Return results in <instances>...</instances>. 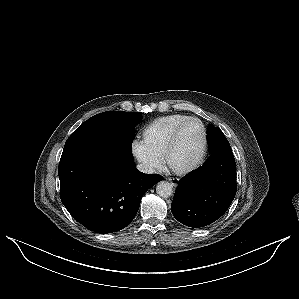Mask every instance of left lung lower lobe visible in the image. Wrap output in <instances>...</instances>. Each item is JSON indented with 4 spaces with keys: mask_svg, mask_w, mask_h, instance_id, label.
Masks as SVG:
<instances>
[{
    "mask_svg": "<svg viewBox=\"0 0 299 299\" xmlns=\"http://www.w3.org/2000/svg\"><path fill=\"white\" fill-rule=\"evenodd\" d=\"M209 153L202 167L180 179L171 204L173 216L193 228L219 219L236 194V163L232 150L209 146Z\"/></svg>",
    "mask_w": 299,
    "mask_h": 299,
    "instance_id": "0a47b994",
    "label": "left lung lower lobe"
}]
</instances>
